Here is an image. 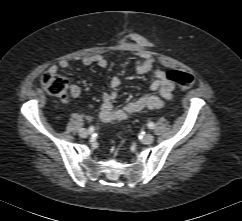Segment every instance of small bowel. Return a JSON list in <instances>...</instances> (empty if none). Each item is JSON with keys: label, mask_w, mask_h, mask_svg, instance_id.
I'll use <instances>...</instances> for the list:
<instances>
[{"label": "small bowel", "mask_w": 242, "mask_h": 221, "mask_svg": "<svg viewBox=\"0 0 242 221\" xmlns=\"http://www.w3.org/2000/svg\"><path fill=\"white\" fill-rule=\"evenodd\" d=\"M119 49L133 53L140 59L135 68L137 74H145L153 71V81L150 84V92L145 93L138 98L126 103L120 108H114V101L117 98V89L121 85L118 77H113L109 86L111 91L104 93L100 110V119L103 122L126 120L133 114L143 110H156L164 107L165 103L172 99L175 89L174 83L165 78L166 71L153 69L155 58L142 38L130 36L127 41L119 44ZM84 66L96 64L101 68L108 65L107 59L102 55L86 56L82 59ZM69 67L68 60H60L57 65H52L49 71L56 72L59 68ZM70 94L76 98L80 95V88L72 85Z\"/></svg>", "instance_id": "small-bowel-1"}]
</instances>
